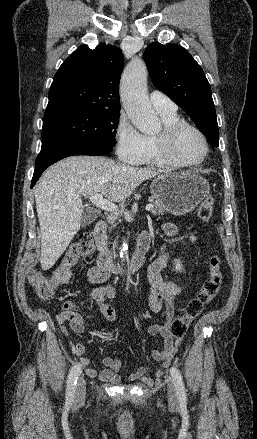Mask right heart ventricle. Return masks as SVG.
I'll list each match as a JSON object with an SVG mask.
<instances>
[{
  "mask_svg": "<svg viewBox=\"0 0 257 439\" xmlns=\"http://www.w3.org/2000/svg\"><path fill=\"white\" fill-rule=\"evenodd\" d=\"M159 115L164 125L173 124L180 121V118L176 112L171 114L159 113ZM144 137H145V151L142 157L135 163L146 164V165H158V166L167 165L166 161L164 160L163 156L161 155L158 149L156 142V135H145Z\"/></svg>",
  "mask_w": 257,
  "mask_h": 439,
  "instance_id": "e07e8e85",
  "label": "right heart ventricle"
}]
</instances>
